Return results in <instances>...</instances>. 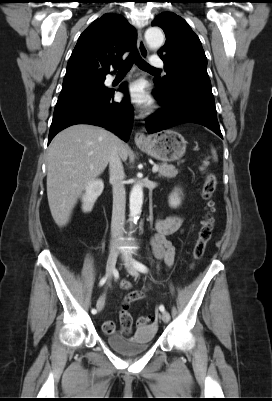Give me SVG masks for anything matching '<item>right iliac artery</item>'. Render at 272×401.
Returning <instances> with one entry per match:
<instances>
[{"label":"right iliac artery","instance_id":"1","mask_svg":"<svg viewBox=\"0 0 272 401\" xmlns=\"http://www.w3.org/2000/svg\"><path fill=\"white\" fill-rule=\"evenodd\" d=\"M106 279H107V277H103V278L100 280L99 285H100V286L104 285L105 282H106ZM102 301H103V297H101V298L99 299V302H102ZM91 312H92V314H96V309H92Z\"/></svg>","mask_w":272,"mask_h":401}]
</instances>
